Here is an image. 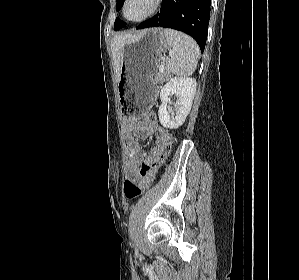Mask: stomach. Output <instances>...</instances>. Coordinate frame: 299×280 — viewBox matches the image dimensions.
<instances>
[{"label": "stomach", "instance_id": "0dacf381", "mask_svg": "<svg viewBox=\"0 0 299 280\" xmlns=\"http://www.w3.org/2000/svg\"><path fill=\"white\" fill-rule=\"evenodd\" d=\"M168 43L161 28L140 32L122 49L118 93L123 115L142 117L148 113L156 94L153 76Z\"/></svg>", "mask_w": 299, "mask_h": 280}]
</instances>
